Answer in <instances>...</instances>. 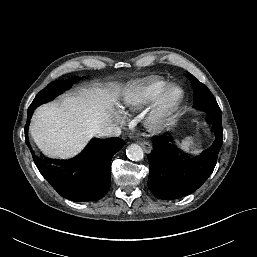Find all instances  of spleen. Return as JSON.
<instances>
[{"instance_id": "obj_1", "label": "spleen", "mask_w": 257, "mask_h": 257, "mask_svg": "<svg viewBox=\"0 0 257 257\" xmlns=\"http://www.w3.org/2000/svg\"><path fill=\"white\" fill-rule=\"evenodd\" d=\"M175 144L178 148H180L184 152H189L190 149H192V152H195V150H194L195 143L191 137H187V138L183 139L181 141V143L176 141Z\"/></svg>"}]
</instances>
